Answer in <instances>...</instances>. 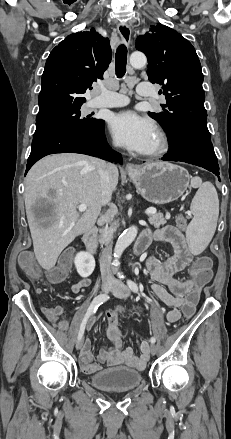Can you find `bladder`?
Listing matches in <instances>:
<instances>
[{
    "instance_id": "bladder-1",
    "label": "bladder",
    "mask_w": 231,
    "mask_h": 439,
    "mask_svg": "<svg viewBox=\"0 0 231 439\" xmlns=\"http://www.w3.org/2000/svg\"><path fill=\"white\" fill-rule=\"evenodd\" d=\"M92 386L106 391H126L142 382V375L135 369L120 366L104 369L89 377Z\"/></svg>"
}]
</instances>
